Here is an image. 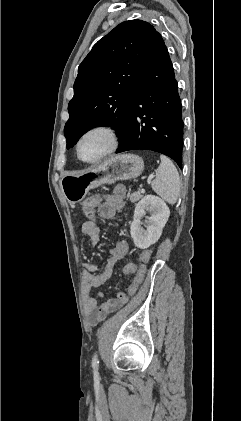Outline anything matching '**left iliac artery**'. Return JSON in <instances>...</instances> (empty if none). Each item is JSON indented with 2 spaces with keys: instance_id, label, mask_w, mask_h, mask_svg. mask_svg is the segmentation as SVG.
<instances>
[{
  "instance_id": "left-iliac-artery-1",
  "label": "left iliac artery",
  "mask_w": 241,
  "mask_h": 421,
  "mask_svg": "<svg viewBox=\"0 0 241 421\" xmlns=\"http://www.w3.org/2000/svg\"><path fill=\"white\" fill-rule=\"evenodd\" d=\"M98 366H99L98 356H97V354H94L93 359H92V367L94 369H97Z\"/></svg>"
}]
</instances>
